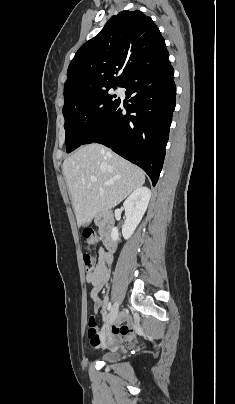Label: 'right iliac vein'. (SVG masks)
<instances>
[{
	"instance_id": "1",
	"label": "right iliac vein",
	"mask_w": 235,
	"mask_h": 404,
	"mask_svg": "<svg viewBox=\"0 0 235 404\" xmlns=\"http://www.w3.org/2000/svg\"><path fill=\"white\" fill-rule=\"evenodd\" d=\"M118 311H119V305H118V303H115L112 307L111 323H114L117 321Z\"/></svg>"
}]
</instances>
